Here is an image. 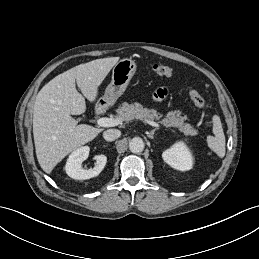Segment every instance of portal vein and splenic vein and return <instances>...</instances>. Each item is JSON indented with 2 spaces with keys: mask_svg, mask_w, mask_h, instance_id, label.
I'll use <instances>...</instances> for the list:
<instances>
[{
  "mask_svg": "<svg viewBox=\"0 0 259 259\" xmlns=\"http://www.w3.org/2000/svg\"><path fill=\"white\" fill-rule=\"evenodd\" d=\"M143 122L146 124H149L154 127H160V125L152 120L143 119ZM122 123V120L119 118L113 119V118H106L102 117L97 120V124L101 127H113L116 125H119Z\"/></svg>",
  "mask_w": 259,
  "mask_h": 259,
  "instance_id": "18ae733b",
  "label": "portal vein and splenic vein"
}]
</instances>
